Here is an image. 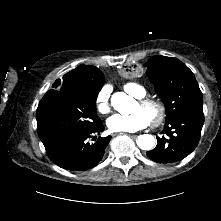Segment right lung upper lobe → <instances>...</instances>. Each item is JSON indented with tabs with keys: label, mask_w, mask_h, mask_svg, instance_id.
Returning <instances> with one entry per match:
<instances>
[{
	"label": "right lung upper lobe",
	"mask_w": 221,
	"mask_h": 221,
	"mask_svg": "<svg viewBox=\"0 0 221 221\" xmlns=\"http://www.w3.org/2000/svg\"><path fill=\"white\" fill-rule=\"evenodd\" d=\"M104 83L103 73L94 66L81 65L63 76V81L57 79L53 87L57 90H49L57 94L84 91L92 85L101 86Z\"/></svg>",
	"instance_id": "right-lung-upper-lobe-1"
}]
</instances>
